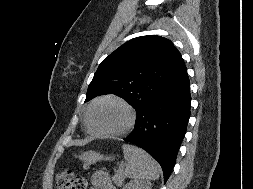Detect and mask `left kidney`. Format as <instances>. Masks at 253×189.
I'll return each mask as SVG.
<instances>
[{"mask_svg":"<svg viewBox=\"0 0 253 189\" xmlns=\"http://www.w3.org/2000/svg\"><path fill=\"white\" fill-rule=\"evenodd\" d=\"M122 189H151V183L143 180H132Z\"/></svg>","mask_w":253,"mask_h":189,"instance_id":"5707ae66","label":"left kidney"}]
</instances>
